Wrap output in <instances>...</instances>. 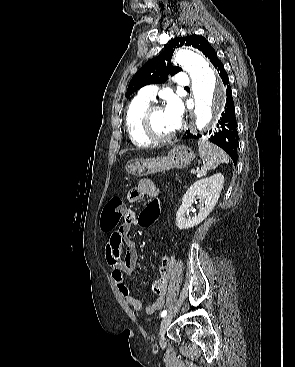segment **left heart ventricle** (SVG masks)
Masks as SVG:
<instances>
[{"label": "left heart ventricle", "mask_w": 295, "mask_h": 367, "mask_svg": "<svg viewBox=\"0 0 295 367\" xmlns=\"http://www.w3.org/2000/svg\"><path fill=\"white\" fill-rule=\"evenodd\" d=\"M152 122L154 130L159 135H170L176 130L168 120L163 108L155 112Z\"/></svg>", "instance_id": "obj_1"}]
</instances>
